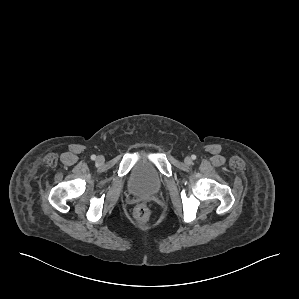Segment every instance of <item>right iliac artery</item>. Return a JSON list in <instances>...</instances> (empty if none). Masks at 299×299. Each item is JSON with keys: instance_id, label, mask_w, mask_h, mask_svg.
<instances>
[{"instance_id": "1", "label": "right iliac artery", "mask_w": 299, "mask_h": 299, "mask_svg": "<svg viewBox=\"0 0 299 299\" xmlns=\"http://www.w3.org/2000/svg\"><path fill=\"white\" fill-rule=\"evenodd\" d=\"M91 159H92V160H95V159H96V156H95V155H92V156H91Z\"/></svg>"}]
</instances>
